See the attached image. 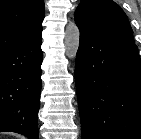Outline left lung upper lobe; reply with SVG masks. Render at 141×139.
Masks as SVG:
<instances>
[{"label":"left lung upper lobe","instance_id":"obj_1","mask_svg":"<svg viewBox=\"0 0 141 139\" xmlns=\"http://www.w3.org/2000/svg\"><path fill=\"white\" fill-rule=\"evenodd\" d=\"M74 18L78 27L91 33L134 43L126 14L112 0H81Z\"/></svg>","mask_w":141,"mask_h":139}]
</instances>
